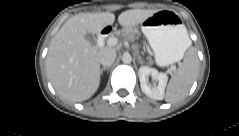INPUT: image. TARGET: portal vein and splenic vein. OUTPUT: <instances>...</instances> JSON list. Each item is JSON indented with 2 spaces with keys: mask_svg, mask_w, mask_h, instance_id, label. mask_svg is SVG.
<instances>
[{
  "mask_svg": "<svg viewBox=\"0 0 239 136\" xmlns=\"http://www.w3.org/2000/svg\"><path fill=\"white\" fill-rule=\"evenodd\" d=\"M118 44V38H116V37H110V38H108V40H107V45L108 46H115V45H117Z\"/></svg>",
  "mask_w": 239,
  "mask_h": 136,
  "instance_id": "portal-vein-and-splenic-vein-1",
  "label": "portal vein and splenic vein"
}]
</instances>
